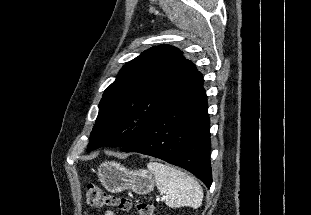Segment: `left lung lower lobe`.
<instances>
[{
    "label": "left lung lower lobe",
    "mask_w": 311,
    "mask_h": 215,
    "mask_svg": "<svg viewBox=\"0 0 311 215\" xmlns=\"http://www.w3.org/2000/svg\"><path fill=\"white\" fill-rule=\"evenodd\" d=\"M203 76L193 80L167 102L139 135L121 150L162 159L193 173L208 188L210 166V120Z\"/></svg>",
    "instance_id": "left-lung-lower-lobe-1"
}]
</instances>
